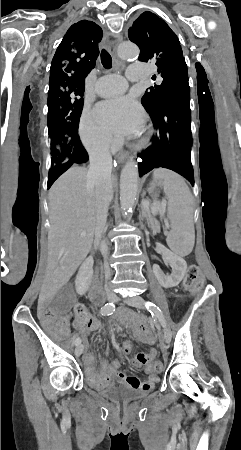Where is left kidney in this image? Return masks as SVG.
<instances>
[{"label":"left kidney","instance_id":"1","mask_svg":"<svg viewBox=\"0 0 241 450\" xmlns=\"http://www.w3.org/2000/svg\"><path fill=\"white\" fill-rule=\"evenodd\" d=\"M157 248H159L164 260H166L169 266H171L172 274H170V276H165L161 268L156 266V264L153 266V272L160 286H163V288H174V286H178L181 280H183L187 264L183 258L176 256V254H173V252L167 250V248L162 246V244H157Z\"/></svg>","mask_w":241,"mask_h":450}]
</instances>
